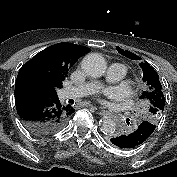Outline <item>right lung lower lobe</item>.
<instances>
[{
    "instance_id": "98d812e1",
    "label": "right lung lower lobe",
    "mask_w": 177,
    "mask_h": 177,
    "mask_svg": "<svg viewBox=\"0 0 177 177\" xmlns=\"http://www.w3.org/2000/svg\"><path fill=\"white\" fill-rule=\"evenodd\" d=\"M15 104L25 127L36 135L56 133L74 112L70 105H61L57 95L29 89L15 91Z\"/></svg>"
}]
</instances>
